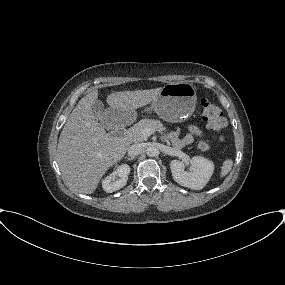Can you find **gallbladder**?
<instances>
[{
    "mask_svg": "<svg viewBox=\"0 0 285 285\" xmlns=\"http://www.w3.org/2000/svg\"><path fill=\"white\" fill-rule=\"evenodd\" d=\"M91 109L95 118L102 121L105 113L104 104L102 101L97 100L92 104Z\"/></svg>",
    "mask_w": 285,
    "mask_h": 285,
    "instance_id": "1",
    "label": "gallbladder"
}]
</instances>
